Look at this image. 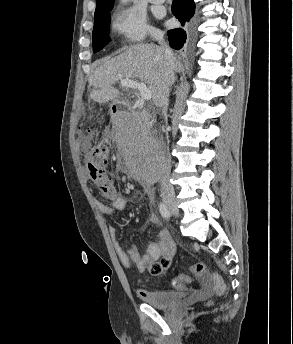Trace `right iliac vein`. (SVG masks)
<instances>
[{"label": "right iliac vein", "mask_w": 293, "mask_h": 344, "mask_svg": "<svg viewBox=\"0 0 293 344\" xmlns=\"http://www.w3.org/2000/svg\"><path fill=\"white\" fill-rule=\"evenodd\" d=\"M167 207L170 208L176 215H178V208L175 201H166Z\"/></svg>", "instance_id": "63e3f726"}]
</instances>
